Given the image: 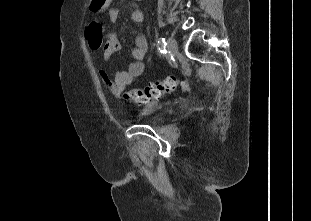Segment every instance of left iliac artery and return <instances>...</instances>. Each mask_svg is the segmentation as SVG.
Listing matches in <instances>:
<instances>
[{
    "mask_svg": "<svg viewBox=\"0 0 311 221\" xmlns=\"http://www.w3.org/2000/svg\"><path fill=\"white\" fill-rule=\"evenodd\" d=\"M158 50L162 53H166V42L163 37L158 38Z\"/></svg>",
    "mask_w": 311,
    "mask_h": 221,
    "instance_id": "left-iliac-artery-1",
    "label": "left iliac artery"
}]
</instances>
